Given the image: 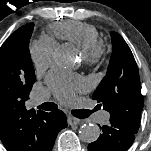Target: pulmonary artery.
Returning <instances> with one entry per match:
<instances>
[{
	"label": "pulmonary artery",
	"instance_id": "pulmonary-artery-1",
	"mask_svg": "<svg viewBox=\"0 0 151 151\" xmlns=\"http://www.w3.org/2000/svg\"><path fill=\"white\" fill-rule=\"evenodd\" d=\"M46 101H48V94L46 92H40L37 94L36 102L38 104H42ZM108 119H109V114L107 112H101L97 117V121L100 123H106Z\"/></svg>",
	"mask_w": 151,
	"mask_h": 151
}]
</instances>
